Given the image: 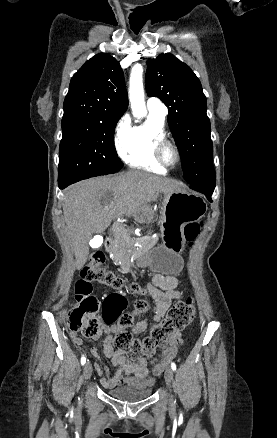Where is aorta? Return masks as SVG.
<instances>
[{
  "label": "aorta",
  "instance_id": "obj_1",
  "mask_svg": "<svg viewBox=\"0 0 277 438\" xmlns=\"http://www.w3.org/2000/svg\"><path fill=\"white\" fill-rule=\"evenodd\" d=\"M143 67L136 64L130 75L129 100L135 117L142 118L147 114L144 102Z\"/></svg>",
  "mask_w": 277,
  "mask_h": 438
}]
</instances>
